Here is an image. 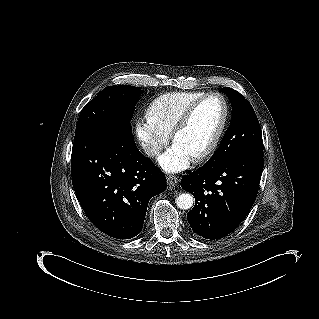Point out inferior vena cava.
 <instances>
[{"mask_svg":"<svg viewBox=\"0 0 319 319\" xmlns=\"http://www.w3.org/2000/svg\"><path fill=\"white\" fill-rule=\"evenodd\" d=\"M142 148L144 153L150 157H154L161 152V148L154 144L143 143Z\"/></svg>","mask_w":319,"mask_h":319,"instance_id":"602c4592","label":"inferior vena cava"}]
</instances>
